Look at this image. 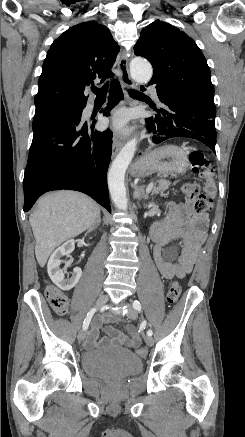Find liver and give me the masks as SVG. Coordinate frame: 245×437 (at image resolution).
<instances>
[{"mask_svg": "<svg viewBox=\"0 0 245 437\" xmlns=\"http://www.w3.org/2000/svg\"><path fill=\"white\" fill-rule=\"evenodd\" d=\"M99 215L96 202L79 192L59 191L42 197L29 218L39 265L44 267L56 247L93 226Z\"/></svg>", "mask_w": 245, "mask_h": 437, "instance_id": "1", "label": "liver"}]
</instances>
